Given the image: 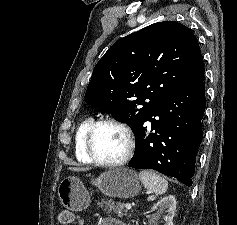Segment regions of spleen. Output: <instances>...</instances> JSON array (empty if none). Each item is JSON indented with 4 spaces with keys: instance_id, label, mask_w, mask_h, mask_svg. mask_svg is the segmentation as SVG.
Listing matches in <instances>:
<instances>
[{
    "instance_id": "spleen-1",
    "label": "spleen",
    "mask_w": 237,
    "mask_h": 225,
    "mask_svg": "<svg viewBox=\"0 0 237 225\" xmlns=\"http://www.w3.org/2000/svg\"><path fill=\"white\" fill-rule=\"evenodd\" d=\"M139 178L144 187L147 188L150 193L155 194L149 196L147 199L148 201H153L158 195H162L167 191V180L155 172L148 170L141 171L139 173Z\"/></svg>"
}]
</instances>
